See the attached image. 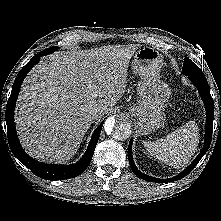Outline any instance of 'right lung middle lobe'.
I'll use <instances>...</instances> for the list:
<instances>
[{
	"label": "right lung middle lobe",
	"instance_id": "right-lung-middle-lobe-1",
	"mask_svg": "<svg viewBox=\"0 0 221 221\" xmlns=\"http://www.w3.org/2000/svg\"><path fill=\"white\" fill-rule=\"evenodd\" d=\"M55 49H57V47H50V48H48V49H45V50H43V51H45L46 52V54H49V53H52V52H54L55 51Z\"/></svg>",
	"mask_w": 221,
	"mask_h": 221
}]
</instances>
